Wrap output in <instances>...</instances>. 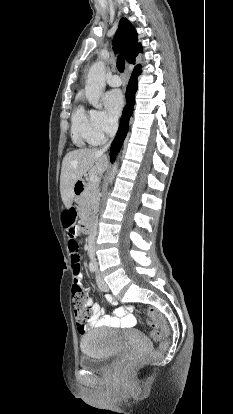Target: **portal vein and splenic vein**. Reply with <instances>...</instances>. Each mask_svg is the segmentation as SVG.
<instances>
[{
  "mask_svg": "<svg viewBox=\"0 0 233 414\" xmlns=\"http://www.w3.org/2000/svg\"><path fill=\"white\" fill-rule=\"evenodd\" d=\"M89 182H91L92 184H98L99 183V178L97 175H90L89 176Z\"/></svg>",
  "mask_w": 233,
  "mask_h": 414,
  "instance_id": "obj_1",
  "label": "portal vein and splenic vein"
}]
</instances>
